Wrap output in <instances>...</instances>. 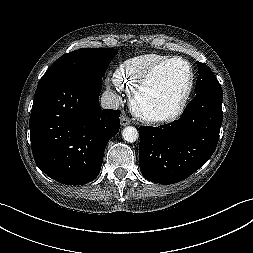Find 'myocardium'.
Returning <instances> with one entry per match:
<instances>
[{
    "mask_svg": "<svg viewBox=\"0 0 253 253\" xmlns=\"http://www.w3.org/2000/svg\"><path fill=\"white\" fill-rule=\"evenodd\" d=\"M174 61H178V62H182V63L186 64L189 69V73H190L189 83H188V87H187L185 93L182 95V97L180 98V100L177 103V105L175 106V108L169 113L158 114V113H153V112L147 111L140 104V99H141L142 93L144 92L145 88L147 87L152 76L160 68H162L165 65H167L171 62H174ZM194 84H195V70H194V67L191 64V62L188 61L187 59H185L183 57L176 56V57H170V58L164 59L162 61H159V62L153 64L143 74V76L139 80L138 84L136 85L135 89L133 90V92L131 94V100H130L132 111L138 118H140L141 120H143L144 122H147V123L159 124V123L172 122V121L178 119L182 115V113L184 112V110L187 106V103L190 99V96L192 94Z\"/></svg>",
    "mask_w": 253,
    "mask_h": 253,
    "instance_id": "1",
    "label": "myocardium"
}]
</instances>
